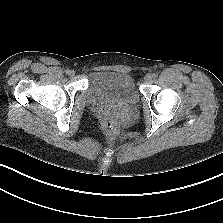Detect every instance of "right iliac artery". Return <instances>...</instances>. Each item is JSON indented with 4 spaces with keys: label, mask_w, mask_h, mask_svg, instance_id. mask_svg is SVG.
<instances>
[{
    "label": "right iliac artery",
    "mask_w": 223,
    "mask_h": 223,
    "mask_svg": "<svg viewBox=\"0 0 223 223\" xmlns=\"http://www.w3.org/2000/svg\"><path fill=\"white\" fill-rule=\"evenodd\" d=\"M65 73L66 74H69L70 73V70L69 69L65 70Z\"/></svg>",
    "instance_id": "1"
}]
</instances>
